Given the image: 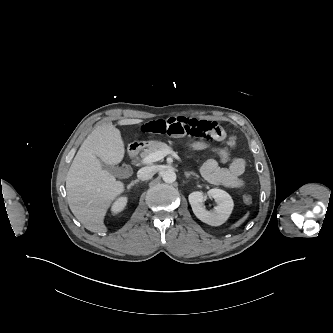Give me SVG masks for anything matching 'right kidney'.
<instances>
[{
	"label": "right kidney",
	"instance_id": "right-kidney-1",
	"mask_svg": "<svg viewBox=\"0 0 333 333\" xmlns=\"http://www.w3.org/2000/svg\"><path fill=\"white\" fill-rule=\"evenodd\" d=\"M126 203H127L126 197L118 199V201H116L112 206L113 213L121 212L124 209Z\"/></svg>",
	"mask_w": 333,
	"mask_h": 333
}]
</instances>
